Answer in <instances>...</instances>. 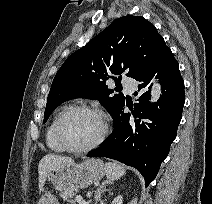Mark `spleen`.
I'll use <instances>...</instances> for the list:
<instances>
[{"label":"spleen","mask_w":212,"mask_h":204,"mask_svg":"<svg viewBox=\"0 0 212 204\" xmlns=\"http://www.w3.org/2000/svg\"><path fill=\"white\" fill-rule=\"evenodd\" d=\"M106 177L110 183L120 179L125 174V169L118 163L108 162L105 165Z\"/></svg>","instance_id":"1"}]
</instances>
